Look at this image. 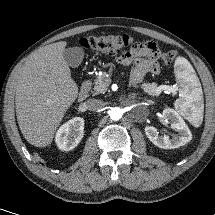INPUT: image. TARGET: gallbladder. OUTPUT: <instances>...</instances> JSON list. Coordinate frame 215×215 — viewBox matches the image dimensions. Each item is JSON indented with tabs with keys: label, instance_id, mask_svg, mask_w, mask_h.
Here are the masks:
<instances>
[{
	"label": "gallbladder",
	"instance_id": "gallbladder-1",
	"mask_svg": "<svg viewBox=\"0 0 215 215\" xmlns=\"http://www.w3.org/2000/svg\"><path fill=\"white\" fill-rule=\"evenodd\" d=\"M63 57L69 66L76 68L83 61L84 51L78 46L70 47L63 51Z\"/></svg>",
	"mask_w": 215,
	"mask_h": 215
}]
</instances>
